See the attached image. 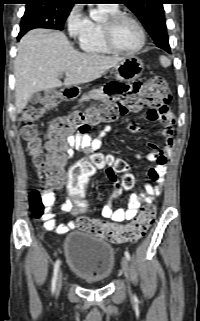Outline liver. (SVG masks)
I'll list each match as a JSON object with an SVG mask.
<instances>
[{"mask_svg": "<svg viewBox=\"0 0 200 321\" xmlns=\"http://www.w3.org/2000/svg\"><path fill=\"white\" fill-rule=\"evenodd\" d=\"M123 59L76 51L59 31H29L18 44L14 62L17 113L22 112L34 93L94 81ZM62 73H66L64 83L59 80Z\"/></svg>", "mask_w": 200, "mask_h": 321, "instance_id": "6515ba94", "label": "liver"}]
</instances>
